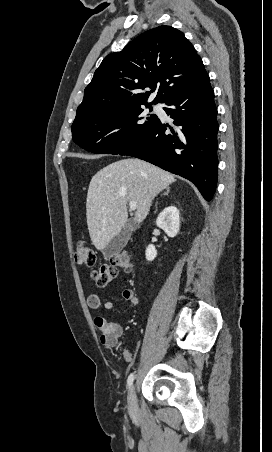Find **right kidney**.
Returning a JSON list of instances; mask_svg holds the SVG:
<instances>
[{
    "instance_id": "right-kidney-1",
    "label": "right kidney",
    "mask_w": 272,
    "mask_h": 452,
    "mask_svg": "<svg viewBox=\"0 0 272 452\" xmlns=\"http://www.w3.org/2000/svg\"><path fill=\"white\" fill-rule=\"evenodd\" d=\"M156 224L164 230L168 237H175L180 228L179 210L175 206L166 207L157 217ZM146 259L153 261L157 256L156 248L153 244L146 248Z\"/></svg>"
}]
</instances>
